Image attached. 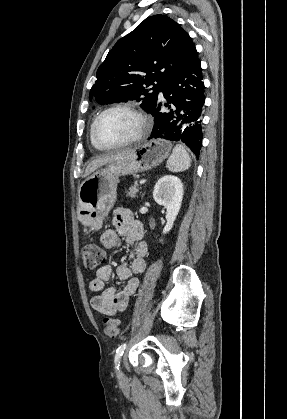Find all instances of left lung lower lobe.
<instances>
[{
	"mask_svg": "<svg viewBox=\"0 0 287 419\" xmlns=\"http://www.w3.org/2000/svg\"><path fill=\"white\" fill-rule=\"evenodd\" d=\"M159 91L167 99L165 106L169 111L160 112L161 103L157 102L149 111L154 117L149 139L182 141L199 157L202 141L200 116L205 102L199 59L165 82Z\"/></svg>",
	"mask_w": 287,
	"mask_h": 419,
	"instance_id": "obj_1",
	"label": "left lung lower lobe"
}]
</instances>
